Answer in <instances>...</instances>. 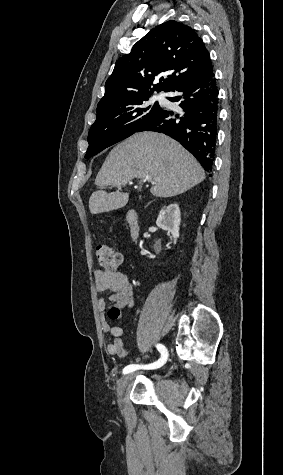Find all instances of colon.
<instances>
[{"label":"colon","instance_id":"colon-1","mask_svg":"<svg viewBox=\"0 0 283 475\" xmlns=\"http://www.w3.org/2000/svg\"><path fill=\"white\" fill-rule=\"evenodd\" d=\"M96 257L99 264L107 270H116L121 263L120 254L108 245H100L96 249Z\"/></svg>","mask_w":283,"mask_h":475}]
</instances>
